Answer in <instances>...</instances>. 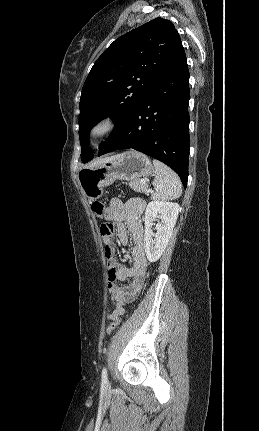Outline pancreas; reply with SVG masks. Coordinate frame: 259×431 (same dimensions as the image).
<instances>
[{
  "mask_svg": "<svg viewBox=\"0 0 259 431\" xmlns=\"http://www.w3.org/2000/svg\"><path fill=\"white\" fill-rule=\"evenodd\" d=\"M129 185L136 192L145 193L147 195L149 193L148 185L146 183H141L140 180H133L129 183Z\"/></svg>",
  "mask_w": 259,
  "mask_h": 431,
  "instance_id": "pancreas-1",
  "label": "pancreas"
}]
</instances>
